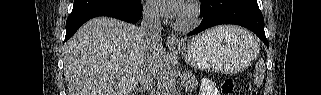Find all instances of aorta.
I'll use <instances>...</instances> for the list:
<instances>
[{"instance_id": "762f6f07", "label": "aorta", "mask_w": 321, "mask_h": 95, "mask_svg": "<svg viewBox=\"0 0 321 95\" xmlns=\"http://www.w3.org/2000/svg\"><path fill=\"white\" fill-rule=\"evenodd\" d=\"M177 77L175 62L169 58L161 75L159 95H175Z\"/></svg>"}]
</instances>
